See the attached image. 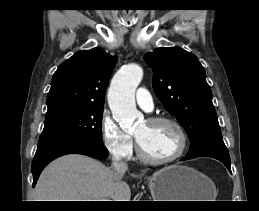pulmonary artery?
<instances>
[{
	"mask_svg": "<svg viewBox=\"0 0 259 211\" xmlns=\"http://www.w3.org/2000/svg\"><path fill=\"white\" fill-rule=\"evenodd\" d=\"M136 101L138 105L146 111H150L153 108L152 96L145 88H139L137 90Z\"/></svg>",
	"mask_w": 259,
	"mask_h": 211,
	"instance_id": "obj_1",
	"label": "pulmonary artery"
}]
</instances>
